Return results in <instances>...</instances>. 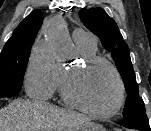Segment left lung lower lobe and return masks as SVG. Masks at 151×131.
<instances>
[{
  "label": "left lung lower lobe",
  "mask_w": 151,
  "mask_h": 131,
  "mask_svg": "<svg viewBox=\"0 0 151 131\" xmlns=\"http://www.w3.org/2000/svg\"><path fill=\"white\" fill-rule=\"evenodd\" d=\"M118 124L139 131H151L148 118L145 113L126 117L124 120L118 122Z\"/></svg>",
  "instance_id": "left-lung-lower-lobe-1"
}]
</instances>
